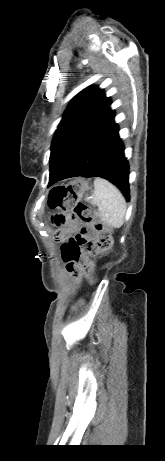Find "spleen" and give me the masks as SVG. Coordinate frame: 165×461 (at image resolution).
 Listing matches in <instances>:
<instances>
[{"label":"spleen","instance_id":"1","mask_svg":"<svg viewBox=\"0 0 165 461\" xmlns=\"http://www.w3.org/2000/svg\"><path fill=\"white\" fill-rule=\"evenodd\" d=\"M92 205L97 206L101 220L113 228H120L125 221L126 201L122 193L109 181L96 178Z\"/></svg>","mask_w":165,"mask_h":461}]
</instances>
